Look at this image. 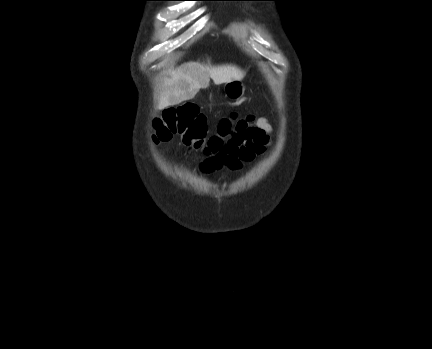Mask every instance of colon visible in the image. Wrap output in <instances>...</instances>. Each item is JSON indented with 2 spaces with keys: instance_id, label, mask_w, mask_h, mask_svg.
Wrapping results in <instances>:
<instances>
[{
  "instance_id": "1",
  "label": "colon",
  "mask_w": 432,
  "mask_h": 349,
  "mask_svg": "<svg viewBox=\"0 0 432 349\" xmlns=\"http://www.w3.org/2000/svg\"><path fill=\"white\" fill-rule=\"evenodd\" d=\"M254 122V117H230L220 120L217 133L207 136L208 126L206 116L195 104H184L165 110L161 117L154 121L155 142H162L179 135L183 144L191 150H203L210 158L216 160L222 156L228 144L239 135L245 133Z\"/></svg>"
}]
</instances>
